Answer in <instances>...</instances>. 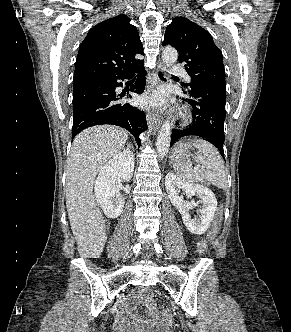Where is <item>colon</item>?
I'll list each match as a JSON object with an SVG mask.
<instances>
[{"instance_id":"colon-1","label":"colon","mask_w":291,"mask_h":332,"mask_svg":"<svg viewBox=\"0 0 291 332\" xmlns=\"http://www.w3.org/2000/svg\"><path fill=\"white\" fill-rule=\"evenodd\" d=\"M219 230H220V214L217 215L215 221L213 222L212 229L209 233V240L210 241H213L215 239V237L217 236ZM146 304H147V306H151V302H149V301Z\"/></svg>"}]
</instances>
